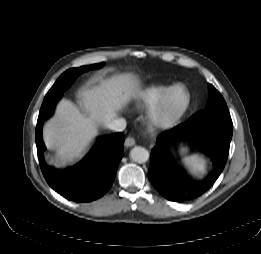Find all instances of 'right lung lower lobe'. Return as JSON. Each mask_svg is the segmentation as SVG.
<instances>
[{"label": "right lung lower lobe", "mask_w": 261, "mask_h": 254, "mask_svg": "<svg viewBox=\"0 0 261 254\" xmlns=\"http://www.w3.org/2000/svg\"><path fill=\"white\" fill-rule=\"evenodd\" d=\"M61 94L44 98L37 126L36 146L39 163L47 183L61 196L77 202H89L103 196L112 186L123 157L124 135L116 133L99 139L85 158L77 165L59 170L49 167L43 157L46 150L42 139V126Z\"/></svg>", "instance_id": "98d812e1"}]
</instances>
